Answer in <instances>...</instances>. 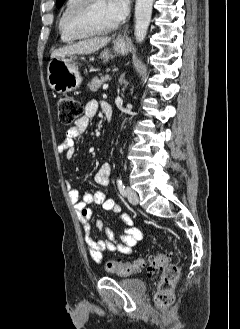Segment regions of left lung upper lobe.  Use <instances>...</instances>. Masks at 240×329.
<instances>
[{
    "mask_svg": "<svg viewBox=\"0 0 240 329\" xmlns=\"http://www.w3.org/2000/svg\"><path fill=\"white\" fill-rule=\"evenodd\" d=\"M65 0H56V6L60 8Z\"/></svg>",
    "mask_w": 240,
    "mask_h": 329,
    "instance_id": "left-lung-upper-lobe-1",
    "label": "left lung upper lobe"
}]
</instances>
